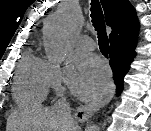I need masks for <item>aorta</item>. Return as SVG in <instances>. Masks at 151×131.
<instances>
[{"label":"aorta","mask_w":151,"mask_h":131,"mask_svg":"<svg viewBox=\"0 0 151 131\" xmlns=\"http://www.w3.org/2000/svg\"><path fill=\"white\" fill-rule=\"evenodd\" d=\"M78 27L77 13L72 7L49 18L44 29L46 52L50 59L60 60L66 48L69 34Z\"/></svg>","instance_id":"762f6f07"}]
</instances>
